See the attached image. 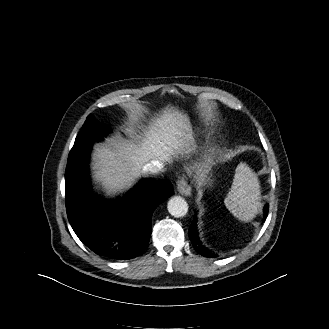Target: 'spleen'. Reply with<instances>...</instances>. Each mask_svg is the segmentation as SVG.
Wrapping results in <instances>:
<instances>
[{
	"label": "spleen",
	"instance_id": "spleen-1",
	"mask_svg": "<svg viewBox=\"0 0 329 329\" xmlns=\"http://www.w3.org/2000/svg\"><path fill=\"white\" fill-rule=\"evenodd\" d=\"M260 184L256 174L246 163H240L236 170L230 191L224 200L226 208L239 220L250 221L258 213Z\"/></svg>",
	"mask_w": 329,
	"mask_h": 329
}]
</instances>
